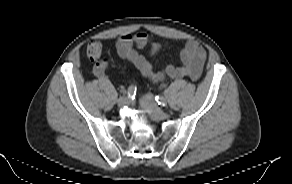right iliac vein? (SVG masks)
I'll return each mask as SVG.
<instances>
[{"instance_id":"63e3f726","label":"right iliac vein","mask_w":292,"mask_h":184,"mask_svg":"<svg viewBox=\"0 0 292 184\" xmlns=\"http://www.w3.org/2000/svg\"><path fill=\"white\" fill-rule=\"evenodd\" d=\"M128 103H129V99L127 97H125V96L120 97L118 99V101H117V104H118L119 107H122V106H124V105H126Z\"/></svg>"}]
</instances>
